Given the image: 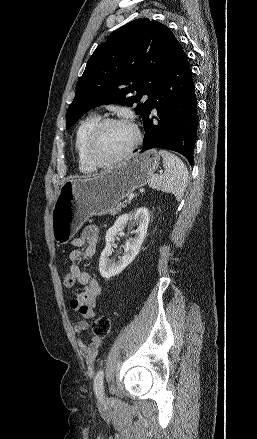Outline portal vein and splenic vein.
I'll return each instance as SVG.
<instances>
[{
    "label": "portal vein and splenic vein",
    "instance_id": "18ae733b",
    "mask_svg": "<svg viewBox=\"0 0 257 439\" xmlns=\"http://www.w3.org/2000/svg\"><path fill=\"white\" fill-rule=\"evenodd\" d=\"M127 198L128 200H132L134 198V194H129Z\"/></svg>",
    "mask_w": 257,
    "mask_h": 439
}]
</instances>
